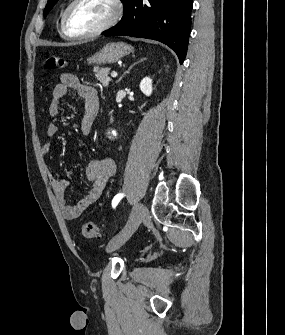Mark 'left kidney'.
Masks as SVG:
<instances>
[{
  "mask_svg": "<svg viewBox=\"0 0 285 335\" xmlns=\"http://www.w3.org/2000/svg\"><path fill=\"white\" fill-rule=\"evenodd\" d=\"M140 90L145 96H151L153 90L151 78H143V80H141Z\"/></svg>",
  "mask_w": 285,
  "mask_h": 335,
  "instance_id": "obj_1",
  "label": "left kidney"
}]
</instances>
